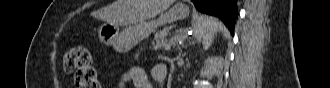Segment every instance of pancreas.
Segmentation results:
<instances>
[{
  "label": "pancreas",
  "instance_id": "cf45deb5",
  "mask_svg": "<svg viewBox=\"0 0 330 88\" xmlns=\"http://www.w3.org/2000/svg\"><path fill=\"white\" fill-rule=\"evenodd\" d=\"M169 31V28H164L162 31H159L155 34L153 42L154 50L164 49L168 51L171 49V47H175L176 45H178L177 40L171 39L168 41L166 39V36Z\"/></svg>",
  "mask_w": 330,
  "mask_h": 88
}]
</instances>
